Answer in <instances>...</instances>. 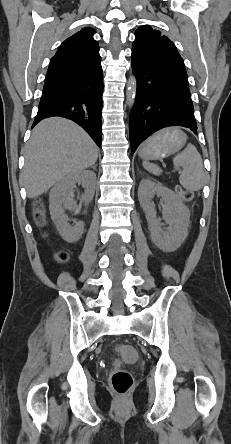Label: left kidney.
Here are the masks:
<instances>
[{"label": "left kidney", "mask_w": 231, "mask_h": 444, "mask_svg": "<svg viewBox=\"0 0 231 444\" xmlns=\"http://www.w3.org/2000/svg\"><path fill=\"white\" fill-rule=\"evenodd\" d=\"M157 195L164 200L163 214L169 228L161 229L156 218L152 198ZM139 203L146 214V219L154 244L164 252H173L180 247L188 235L190 212L183 201L169 188L150 179H143L138 188Z\"/></svg>", "instance_id": "obj_1"}]
</instances>
